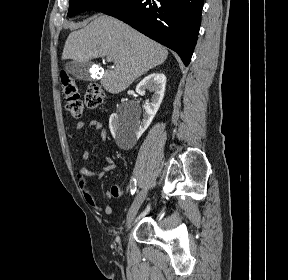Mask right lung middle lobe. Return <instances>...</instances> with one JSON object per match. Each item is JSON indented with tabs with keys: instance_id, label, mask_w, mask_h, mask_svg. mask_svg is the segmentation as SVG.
I'll return each mask as SVG.
<instances>
[{
	"instance_id": "obj_1",
	"label": "right lung middle lobe",
	"mask_w": 288,
	"mask_h": 280,
	"mask_svg": "<svg viewBox=\"0 0 288 280\" xmlns=\"http://www.w3.org/2000/svg\"><path fill=\"white\" fill-rule=\"evenodd\" d=\"M122 0H70V8L68 16L72 17L81 12L90 10L102 11L109 6L117 4Z\"/></svg>"
}]
</instances>
